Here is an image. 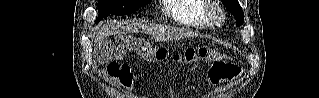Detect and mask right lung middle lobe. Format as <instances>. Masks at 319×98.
<instances>
[{"label": "right lung middle lobe", "instance_id": "obj_1", "mask_svg": "<svg viewBox=\"0 0 319 98\" xmlns=\"http://www.w3.org/2000/svg\"><path fill=\"white\" fill-rule=\"evenodd\" d=\"M150 2L151 0H98V15L95 22L108 16L133 13Z\"/></svg>", "mask_w": 319, "mask_h": 98}]
</instances>
